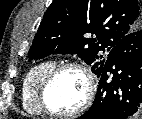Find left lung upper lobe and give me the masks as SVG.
<instances>
[{
    "mask_svg": "<svg viewBox=\"0 0 142 119\" xmlns=\"http://www.w3.org/2000/svg\"><path fill=\"white\" fill-rule=\"evenodd\" d=\"M141 26L138 0H54L28 55L39 59L54 53L77 54L98 75L105 63L99 60L100 51H110Z\"/></svg>",
    "mask_w": 142,
    "mask_h": 119,
    "instance_id": "obj_1",
    "label": "left lung upper lobe"
}]
</instances>
